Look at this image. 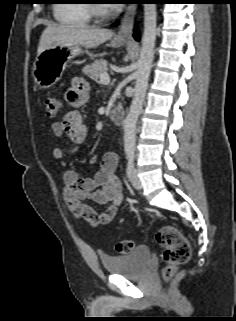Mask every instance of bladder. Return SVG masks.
Returning a JSON list of instances; mask_svg holds the SVG:
<instances>
[{
	"label": "bladder",
	"mask_w": 236,
	"mask_h": 321,
	"mask_svg": "<svg viewBox=\"0 0 236 321\" xmlns=\"http://www.w3.org/2000/svg\"><path fill=\"white\" fill-rule=\"evenodd\" d=\"M151 251L147 245H138L134 250L124 255L101 256V262L106 272L124 277L141 276L149 263Z\"/></svg>",
	"instance_id": "bladder-1"
}]
</instances>
